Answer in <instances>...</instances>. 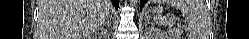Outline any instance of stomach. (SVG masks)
<instances>
[{"label": "stomach", "instance_id": "obj_1", "mask_svg": "<svg viewBox=\"0 0 249 39\" xmlns=\"http://www.w3.org/2000/svg\"><path fill=\"white\" fill-rule=\"evenodd\" d=\"M161 10V8L159 7L158 9H156L157 12H159Z\"/></svg>", "mask_w": 249, "mask_h": 39}]
</instances>
